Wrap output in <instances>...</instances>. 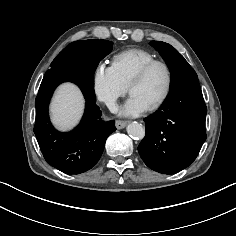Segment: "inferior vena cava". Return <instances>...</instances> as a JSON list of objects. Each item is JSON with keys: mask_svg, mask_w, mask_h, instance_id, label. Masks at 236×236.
Wrapping results in <instances>:
<instances>
[{"mask_svg": "<svg viewBox=\"0 0 236 236\" xmlns=\"http://www.w3.org/2000/svg\"><path fill=\"white\" fill-rule=\"evenodd\" d=\"M107 107L112 113H116L118 111V105L114 101H110L107 103Z\"/></svg>", "mask_w": 236, "mask_h": 236, "instance_id": "inferior-vena-cava-1", "label": "inferior vena cava"}]
</instances>
